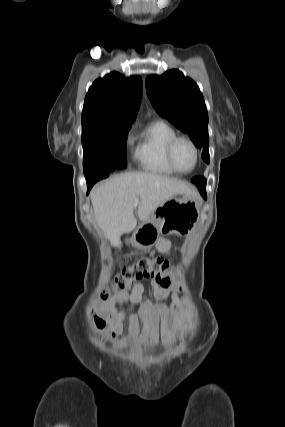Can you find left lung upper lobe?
Returning a JSON list of instances; mask_svg holds the SVG:
<instances>
[{
  "mask_svg": "<svg viewBox=\"0 0 285 427\" xmlns=\"http://www.w3.org/2000/svg\"><path fill=\"white\" fill-rule=\"evenodd\" d=\"M146 90L155 110L190 135L202 158L209 163L208 113L197 84L178 70L150 75Z\"/></svg>",
  "mask_w": 285,
  "mask_h": 427,
  "instance_id": "1",
  "label": "left lung upper lobe"
}]
</instances>
